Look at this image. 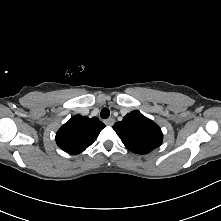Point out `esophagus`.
<instances>
[{
	"label": "esophagus",
	"mask_w": 221,
	"mask_h": 221,
	"mask_svg": "<svg viewBox=\"0 0 221 221\" xmlns=\"http://www.w3.org/2000/svg\"><path fill=\"white\" fill-rule=\"evenodd\" d=\"M114 122H115L114 118H108L104 120V123L108 126H112Z\"/></svg>",
	"instance_id": "esophagus-1"
}]
</instances>
